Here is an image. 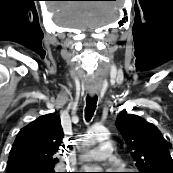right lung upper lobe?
I'll return each instance as SVG.
<instances>
[{
	"label": "right lung upper lobe",
	"instance_id": "obj_1",
	"mask_svg": "<svg viewBox=\"0 0 173 173\" xmlns=\"http://www.w3.org/2000/svg\"><path fill=\"white\" fill-rule=\"evenodd\" d=\"M60 117L43 115L22 128L9 153L6 173H30L54 169L63 143Z\"/></svg>",
	"mask_w": 173,
	"mask_h": 173
}]
</instances>
